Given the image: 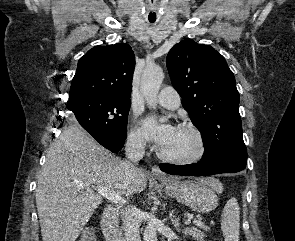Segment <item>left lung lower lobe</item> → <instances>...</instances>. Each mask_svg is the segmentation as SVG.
Here are the masks:
<instances>
[{"mask_svg": "<svg viewBox=\"0 0 295 241\" xmlns=\"http://www.w3.org/2000/svg\"><path fill=\"white\" fill-rule=\"evenodd\" d=\"M160 169L166 173L184 176H208L220 173H235L246 170V163L215 158L210 160H201L198 163L189 165H172L168 163L160 164Z\"/></svg>", "mask_w": 295, "mask_h": 241, "instance_id": "left-lung-lower-lobe-1", "label": "left lung lower lobe"}]
</instances>
